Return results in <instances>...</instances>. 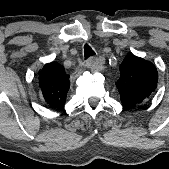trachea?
Masks as SVG:
<instances>
[{
	"label": "trachea",
	"mask_w": 169,
	"mask_h": 169,
	"mask_svg": "<svg viewBox=\"0 0 169 169\" xmlns=\"http://www.w3.org/2000/svg\"><path fill=\"white\" fill-rule=\"evenodd\" d=\"M93 55H95V52L93 51V49L91 48V46L86 43L84 45V56H85V59H87L88 57L93 56Z\"/></svg>",
	"instance_id": "trachea-1"
}]
</instances>
